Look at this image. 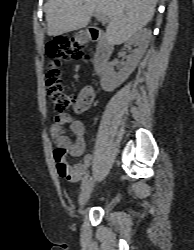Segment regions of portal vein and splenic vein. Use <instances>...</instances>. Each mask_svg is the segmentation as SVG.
I'll list each match as a JSON object with an SVG mask.
<instances>
[{
    "label": "portal vein and splenic vein",
    "instance_id": "18ae733b",
    "mask_svg": "<svg viewBox=\"0 0 194 250\" xmlns=\"http://www.w3.org/2000/svg\"><path fill=\"white\" fill-rule=\"evenodd\" d=\"M95 16L98 20L102 21L103 23H106L108 21V18L100 13H95Z\"/></svg>",
    "mask_w": 194,
    "mask_h": 250
}]
</instances>
